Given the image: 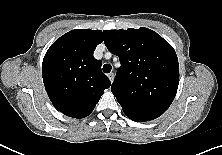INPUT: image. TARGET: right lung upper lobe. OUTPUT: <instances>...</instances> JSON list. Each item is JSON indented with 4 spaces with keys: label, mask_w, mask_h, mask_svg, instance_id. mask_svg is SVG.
<instances>
[{
    "label": "right lung upper lobe",
    "mask_w": 222,
    "mask_h": 155,
    "mask_svg": "<svg viewBox=\"0 0 222 155\" xmlns=\"http://www.w3.org/2000/svg\"><path fill=\"white\" fill-rule=\"evenodd\" d=\"M101 30L75 29L56 40L42 63L46 92L54 107L72 118L88 116L111 85L102 62L93 57Z\"/></svg>",
    "instance_id": "1"
}]
</instances>
